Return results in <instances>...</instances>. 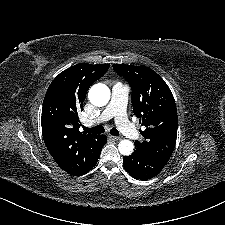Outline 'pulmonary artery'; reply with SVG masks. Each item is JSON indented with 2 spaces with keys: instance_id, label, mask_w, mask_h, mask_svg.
<instances>
[{
  "instance_id": "pulmonary-artery-1",
  "label": "pulmonary artery",
  "mask_w": 225,
  "mask_h": 225,
  "mask_svg": "<svg viewBox=\"0 0 225 225\" xmlns=\"http://www.w3.org/2000/svg\"><path fill=\"white\" fill-rule=\"evenodd\" d=\"M128 94L129 87L127 85L122 83L114 84L112 88L111 100L97 121L104 122L114 117L120 128L124 131H127L130 136L134 137L137 135V132L132 129L131 123L128 120L126 113ZM87 124L90 125L93 124V122H87Z\"/></svg>"
}]
</instances>
